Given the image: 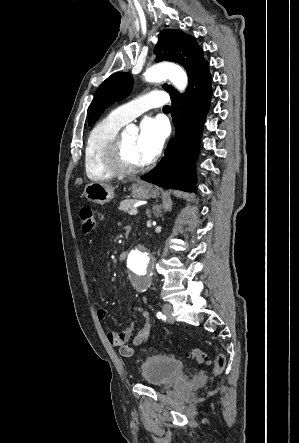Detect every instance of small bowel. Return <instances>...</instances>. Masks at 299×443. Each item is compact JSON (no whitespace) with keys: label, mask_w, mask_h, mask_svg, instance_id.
I'll return each instance as SVG.
<instances>
[{"label":"small bowel","mask_w":299,"mask_h":443,"mask_svg":"<svg viewBox=\"0 0 299 443\" xmlns=\"http://www.w3.org/2000/svg\"><path fill=\"white\" fill-rule=\"evenodd\" d=\"M135 313H140L143 316V323L136 335L132 336L133 323L129 324L122 332L109 331L107 334L110 344L118 347L120 352L127 357L134 354L135 347L140 346L147 341L152 328L148 313L143 308L137 307ZM106 315L107 310L104 307H99L97 309V316L99 319H104ZM130 340H132L131 345L128 344Z\"/></svg>","instance_id":"small-bowel-1"}]
</instances>
